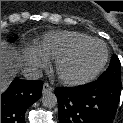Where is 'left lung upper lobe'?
Instances as JSON below:
<instances>
[{
  "instance_id": "5c2ea615",
  "label": "left lung upper lobe",
  "mask_w": 123,
  "mask_h": 123,
  "mask_svg": "<svg viewBox=\"0 0 123 123\" xmlns=\"http://www.w3.org/2000/svg\"><path fill=\"white\" fill-rule=\"evenodd\" d=\"M121 63L116 55H113L108 69L98 78L102 81L120 83Z\"/></svg>"
}]
</instances>
